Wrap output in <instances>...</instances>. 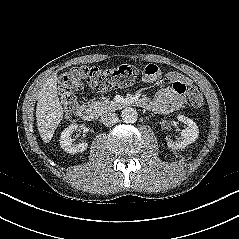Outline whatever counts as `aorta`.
I'll return each instance as SVG.
<instances>
[{
  "label": "aorta",
  "mask_w": 239,
  "mask_h": 239,
  "mask_svg": "<svg viewBox=\"0 0 239 239\" xmlns=\"http://www.w3.org/2000/svg\"><path fill=\"white\" fill-rule=\"evenodd\" d=\"M121 117L125 123H135L138 118V113L136 109L128 107L122 110Z\"/></svg>",
  "instance_id": "obj_1"
}]
</instances>
